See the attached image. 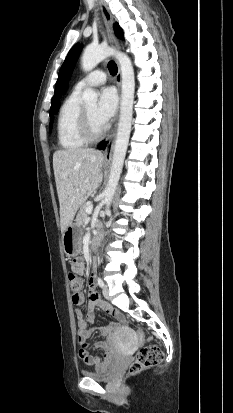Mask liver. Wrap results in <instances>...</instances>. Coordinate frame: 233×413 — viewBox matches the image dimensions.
Instances as JSON below:
<instances>
[{"label": "liver", "mask_w": 233, "mask_h": 413, "mask_svg": "<svg viewBox=\"0 0 233 413\" xmlns=\"http://www.w3.org/2000/svg\"><path fill=\"white\" fill-rule=\"evenodd\" d=\"M103 154L91 148L56 151L53 168L64 231L76 212L102 182Z\"/></svg>", "instance_id": "liver-1"}]
</instances>
